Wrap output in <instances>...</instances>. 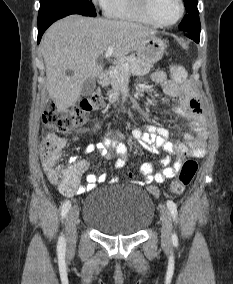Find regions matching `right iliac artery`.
Masks as SVG:
<instances>
[{
  "label": "right iliac artery",
  "mask_w": 233,
  "mask_h": 284,
  "mask_svg": "<svg viewBox=\"0 0 233 284\" xmlns=\"http://www.w3.org/2000/svg\"><path fill=\"white\" fill-rule=\"evenodd\" d=\"M71 207V202L68 200V201H65L62 205V208H61V217L62 219L65 218L67 212L69 211ZM58 250L60 252H64L65 251V247H66V243H65V238L63 235L60 236L59 238V241H58Z\"/></svg>",
  "instance_id": "right-iliac-artery-1"
}]
</instances>
